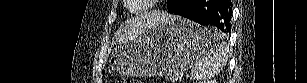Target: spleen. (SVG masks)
<instances>
[{
	"label": "spleen",
	"instance_id": "1",
	"mask_svg": "<svg viewBox=\"0 0 307 83\" xmlns=\"http://www.w3.org/2000/svg\"><path fill=\"white\" fill-rule=\"evenodd\" d=\"M208 36L213 42L212 52L192 65L191 79L205 80L217 75L228 61V47L221 33L214 28L208 30Z\"/></svg>",
	"mask_w": 307,
	"mask_h": 83
}]
</instances>
